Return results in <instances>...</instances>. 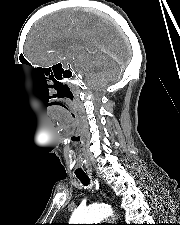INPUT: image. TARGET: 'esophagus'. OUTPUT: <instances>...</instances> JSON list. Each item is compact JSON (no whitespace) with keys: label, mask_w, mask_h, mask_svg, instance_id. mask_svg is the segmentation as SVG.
<instances>
[{"label":"esophagus","mask_w":180,"mask_h":225,"mask_svg":"<svg viewBox=\"0 0 180 225\" xmlns=\"http://www.w3.org/2000/svg\"><path fill=\"white\" fill-rule=\"evenodd\" d=\"M109 223H113L114 219L113 218H110L108 219Z\"/></svg>","instance_id":"1"}]
</instances>
